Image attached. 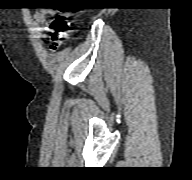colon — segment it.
<instances>
[{
  "instance_id": "1",
  "label": "colon",
  "mask_w": 192,
  "mask_h": 180,
  "mask_svg": "<svg viewBox=\"0 0 192 180\" xmlns=\"http://www.w3.org/2000/svg\"><path fill=\"white\" fill-rule=\"evenodd\" d=\"M69 13L58 15L52 22L55 33L51 38V50L56 51L62 45L64 39L67 37L68 32L71 30V21Z\"/></svg>"
}]
</instances>
